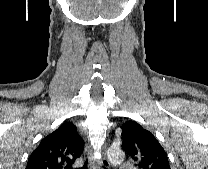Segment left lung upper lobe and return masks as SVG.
Returning a JSON list of instances; mask_svg holds the SVG:
<instances>
[{
  "mask_svg": "<svg viewBox=\"0 0 208 169\" xmlns=\"http://www.w3.org/2000/svg\"><path fill=\"white\" fill-rule=\"evenodd\" d=\"M121 129L122 148L139 169H170L168 157L153 134L132 120L125 122Z\"/></svg>",
  "mask_w": 208,
  "mask_h": 169,
  "instance_id": "1",
  "label": "left lung upper lobe"
}]
</instances>
